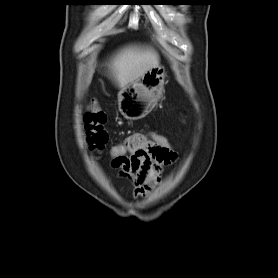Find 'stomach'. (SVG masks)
<instances>
[{
	"label": "stomach",
	"mask_w": 278,
	"mask_h": 278,
	"mask_svg": "<svg viewBox=\"0 0 278 278\" xmlns=\"http://www.w3.org/2000/svg\"><path fill=\"white\" fill-rule=\"evenodd\" d=\"M166 73L161 65L153 67L118 93L120 113L129 120H139L149 114L162 96Z\"/></svg>",
	"instance_id": "obj_1"
}]
</instances>
